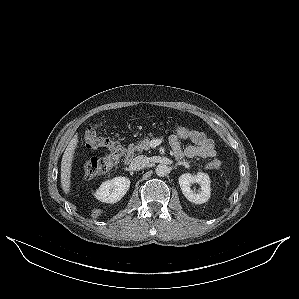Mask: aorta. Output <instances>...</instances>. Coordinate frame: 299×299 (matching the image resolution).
Listing matches in <instances>:
<instances>
[{
	"label": "aorta",
	"instance_id": "aorta-1",
	"mask_svg": "<svg viewBox=\"0 0 299 299\" xmlns=\"http://www.w3.org/2000/svg\"><path fill=\"white\" fill-rule=\"evenodd\" d=\"M155 172L158 176L164 177L168 174L169 168L165 164H159V165L156 166Z\"/></svg>",
	"mask_w": 299,
	"mask_h": 299
}]
</instances>
